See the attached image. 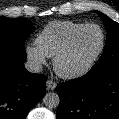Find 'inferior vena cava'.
Segmentation results:
<instances>
[{"label": "inferior vena cava", "mask_w": 119, "mask_h": 119, "mask_svg": "<svg viewBox=\"0 0 119 119\" xmlns=\"http://www.w3.org/2000/svg\"><path fill=\"white\" fill-rule=\"evenodd\" d=\"M25 68L31 73H39L42 71V65L35 61H27L25 63Z\"/></svg>", "instance_id": "1"}]
</instances>
